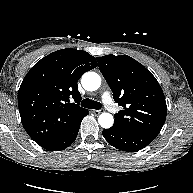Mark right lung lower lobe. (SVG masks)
<instances>
[{"label": "right lung lower lobe", "instance_id": "1", "mask_svg": "<svg viewBox=\"0 0 193 193\" xmlns=\"http://www.w3.org/2000/svg\"><path fill=\"white\" fill-rule=\"evenodd\" d=\"M87 114L88 112L79 121H77L66 133H64V135H62L56 142H54L46 149L51 151H60L70 146L77 137L82 119Z\"/></svg>", "mask_w": 193, "mask_h": 193}]
</instances>
